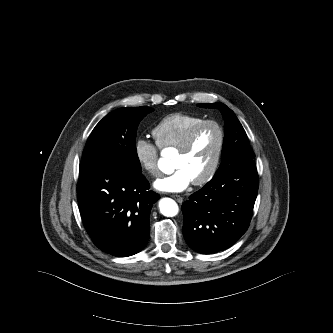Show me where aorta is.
I'll use <instances>...</instances> for the list:
<instances>
[{"label":"aorta","instance_id":"obj_1","mask_svg":"<svg viewBox=\"0 0 333 333\" xmlns=\"http://www.w3.org/2000/svg\"><path fill=\"white\" fill-rule=\"evenodd\" d=\"M162 158L158 161V166L161 170L168 172L172 170L173 164L169 157L166 155V151L162 152ZM159 209L162 215L166 217H174L178 214V204L171 198H162L159 201Z\"/></svg>","mask_w":333,"mask_h":333}]
</instances>
